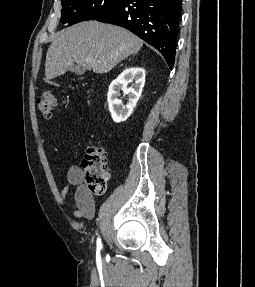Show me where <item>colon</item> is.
I'll list each match as a JSON object with an SVG mask.
<instances>
[{"instance_id":"1","label":"colon","mask_w":255,"mask_h":287,"mask_svg":"<svg viewBox=\"0 0 255 287\" xmlns=\"http://www.w3.org/2000/svg\"><path fill=\"white\" fill-rule=\"evenodd\" d=\"M58 101L54 92L47 91L37 99V106L45 117L51 118ZM82 167L88 189L96 194L104 193L109 179L105 150L99 146H88L82 160Z\"/></svg>"}]
</instances>
